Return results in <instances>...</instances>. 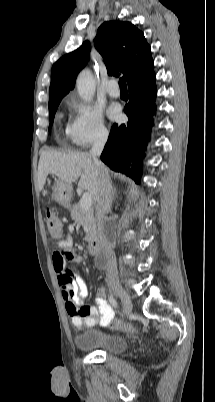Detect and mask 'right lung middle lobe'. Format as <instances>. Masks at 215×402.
<instances>
[{
  "mask_svg": "<svg viewBox=\"0 0 215 402\" xmlns=\"http://www.w3.org/2000/svg\"><path fill=\"white\" fill-rule=\"evenodd\" d=\"M61 99L62 98H58V99H55V100L49 102V116H50L49 129L51 128V126L53 124L54 116H55L57 107H58Z\"/></svg>",
  "mask_w": 215,
  "mask_h": 402,
  "instance_id": "dd1d6c3e",
  "label": "right lung middle lobe"
}]
</instances>
